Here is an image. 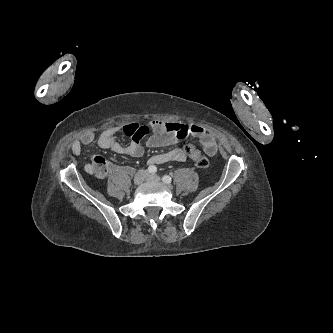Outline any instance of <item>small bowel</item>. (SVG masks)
Instances as JSON below:
<instances>
[{
    "instance_id": "small-bowel-1",
    "label": "small bowel",
    "mask_w": 333,
    "mask_h": 333,
    "mask_svg": "<svg viewBox=\"0 0 333 333\" xmlns=\"http://www.w3.org/2000/svg\"><path fill=\"white\" fill-rule=\"evenodd\" d=\"M118 131L119 128L116 127L104 130L98 137V145L101 148L109 149L118 154L141 157L144 153V147L140 140L144 137H147V146L153 148L175 144L189 136L197 137L200 140L203 152L195 149L192 155H187L183 149L174 148L152 156L149 160L152 165L164 164L171 161H184L187 156L192 160L196 155L210 157L217 151L214 138L204 128L195 124L152 120L147 127L137 123H130L122 128V131L132 139L128 145L121 144L116 139ZM94 140L95 135L92 132H88L71 144V150L75 155H78L84 146L92 144ZM108 169V164L101 157H94L91 164L86 167L88 173L94 174L97 177H103Z\"/></svg>"
}]
</instances>
